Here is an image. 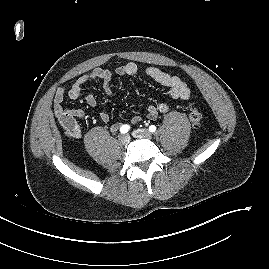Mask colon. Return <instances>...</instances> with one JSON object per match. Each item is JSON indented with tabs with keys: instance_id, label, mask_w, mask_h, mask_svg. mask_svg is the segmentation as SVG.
<instances>
[{
	"instance_id": "colon-1",
	"label": "colon",
	"mask_w": 269,
	"mask_h": 269,
	"mask_svg": "<svg viewBox=\"0 0 269 269\" xmlns=\"http://www.w3.org/2000/svg\"><path fill=\"white\" fill-rule=\"evenodd\" d=\"M189 118L192 123V125L195 128H199L201 123H202V115L201 113L197 110L196 107L193 105H190V113H189ZM69 122V120H67Z\"/></svg>"
}]
</instances>
